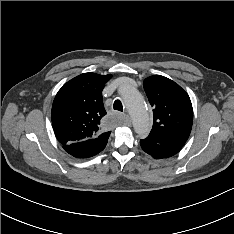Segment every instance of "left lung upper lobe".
<instances>
[{
	"mask_svg": "<svg viewBox=\"0 0 234 234\" xmlns=\"http://www.w3.org/2000/svg\"><path fill=\"white\" fill-rule=\"evenodd\" d=\"M143 85L154 114L149 136L165 138L183 146L193 123L188 94L177 83L160 75L148 77Z\"/></svg>",
	"mask_w": 234,
	"mask_h": 234,
	"instance_id": "left-lung-upper-lobe-1",
	"label": "left lung upper lobe"
}]
</instances>
